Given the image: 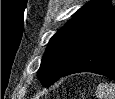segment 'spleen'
Instances as JSON below:
<instances>
[{"label":"spleen","instance_id":"spleen-1","mask_svg":"<svg viewBox=\"0 0 115 99\" xmlns=\"http://www.w3.org/2000/svg\"><path fill=\"white\" fill-rule=\"evenodd\" d=\"M96 97L99 99H115V84L100 83L97 86Z\"/></svg>","mask_w":115,"mask_h":99}]
</instances>
